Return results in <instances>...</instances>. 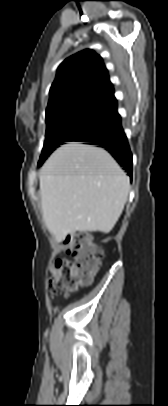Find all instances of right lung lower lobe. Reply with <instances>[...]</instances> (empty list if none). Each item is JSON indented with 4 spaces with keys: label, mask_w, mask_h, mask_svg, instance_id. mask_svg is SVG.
Listing matches in <instances>:
<instances>
[{
    "label": "right lung lower lobe",
    "mask_w": 168,
    "mask_h": 406,
    "mask_svg": "<svg viewBox=\"0 0 168 406\" xmlns=\"http://www.w3.org/2000/svg\"><path fill=\"white\" fill-rule=\"evenodd\" d=\"M111 107L115 114V118L111 123L76 141L87 142L106 149L131 177L132 154L121 126V117L117 112V102L115 101Z\"/></svg>",
    "instance_id": "98d812e1"
}]
</instances>
